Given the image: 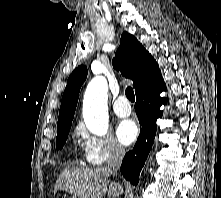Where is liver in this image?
Returning a JSON list of instances; mask_svg holds the SVG:
<instances>
[{
    "label": "liver",
    "instance_id": "6515ba94",
    "mask_svg": "<svg viewBox=\"0 0 221 198\" xmlns=\"http://www.w3.org/2000/svg\"><path fill=\"white\" fill-rule=\"evenodd\" d=\"M110 173L103 167L96 169H65L59 176L54 192L64 190L79 198H116L123 193L122 185L107 179Z\"/></svg>",
    "mask_w": 221,
    "mask_h": 198
}]
</instances>
